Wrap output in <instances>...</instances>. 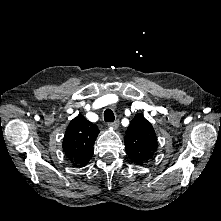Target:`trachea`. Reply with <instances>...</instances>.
Returning <instances> with one entry per match:
<instances>
[{
	"label": "trachea",
	"instance_id": "1",
	"mask_svg": "<svg viewBox=\"0 0 221 221\" xmlns=\"http://www.w3.org/2000/svg\"><path fill=\"white\" fill-rule=\"evenodd\" d=\"M104 120H105V122H113L115 120L114 113L111 109L105 110Z\"/></svg>",
	"mask_w": 221,
	"mask_h": 221
}]
</instances>
